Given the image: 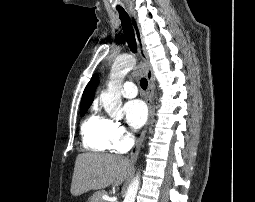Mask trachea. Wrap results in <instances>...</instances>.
Masks as SVG:
<instances>
[{
	"label": "trachea",
	"mask_w": 255,
	"mask_h": 202,
	"mask_svg": "<svg viewBox=\"0 0 255 202\" xmlns=\"http://www.w3.org/2000/svg\"><path fill=\"white\" fill-rule=\"evenodd\" d=\"M118 12H119L123 32H124L126 41L128 43V46L130 47V49L133 53H136L137 45H136V40H135V34H134V30H133L129 15L122 8H118ZM140 85L145 90L148 85L147 80L145 78H142L140 81Z\"/></svg>",
	"instance_id": "3493384b"
}]
</instances>
